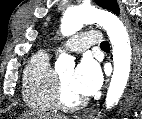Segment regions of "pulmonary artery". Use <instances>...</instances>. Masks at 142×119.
Wrapping results in <instances>:
<instances>
[{
	"mask_svg": "<svg viewBox=\"0 0 142 119\" xmlns=\"http://www.w3.org/2000/svg\"><path fill=\"white\" fill-rule=\"evenodd\" d=\"M101 37L98 30L92 29L85 33L79 34L75 37L68 39L64 45L65 47L76 53H80L92 45L100 44L101 45Z\"/></svg>",
	"mask_w": 142,
	"mask_h": 119,
	"instance_id": "obj_1",
	"label": "pulmonary artery"
}]
</instances>
